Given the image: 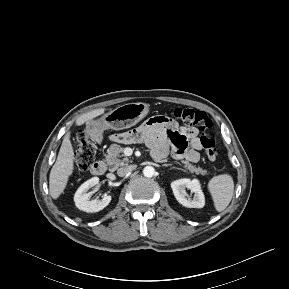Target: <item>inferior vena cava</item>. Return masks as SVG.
Segmentation results:
<instances>
[{
	"label": "inferior vena cava",
	"instance_id": "602c4592",
	"mask_svg": "<svg viewBox=\"0 0 289 289\" xmlns=\"http://www.w3.org/2000/svg\"><path fill=\"white\" fill-rule=\"evenodd\" d=\"M136 168L135 165H129V166H125V167H121L117 170V174L120 177H123L125 175H127L128 173H130L131 171H133Z\"/></svg>",
	"mask_w": 289,
	"mask_h": 289
}]
</instances>
